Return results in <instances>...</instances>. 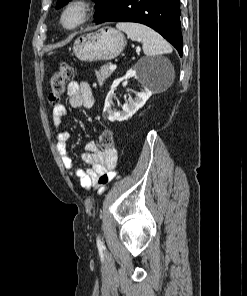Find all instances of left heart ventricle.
Here are the masks:
<instances>
[{"instance_id":"obj_1","label":"left heart ventricle","mask_w":247,"mask_h":296,"mask_svg":"<svg viewBox=\"0 0 247 296\" xmlns=\"http://www.w3.org/2000/svg\"><path fill=\"white\" fill-rule=\"evenodd\" d=\"M71 21H73V17L72 16L69 18V22H71Z\"/></svg>"}]
</instances>
